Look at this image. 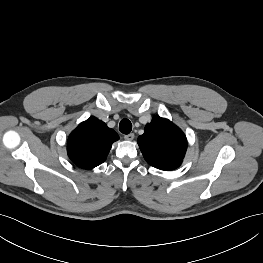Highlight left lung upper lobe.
<instances>
[{
	"instance_id": "obj_1",
	"label": "left lung upper lobe",
	"mask_w": 263,
	"mask_h": 263,
	"mask_svg": "<svg viewBox=\"0 0 263 263\" xmlns=\"http://www.w3.org/2000/svg\"><path fill=\"white\" fill-rule=\"evenodd\" d=\"M137 142L147 163L161 170L179 167L187 149L184 133L171 121L159 116L153 117L146 125Z\"/></svg>"
}]
</instances>
